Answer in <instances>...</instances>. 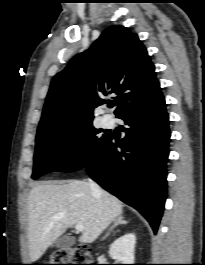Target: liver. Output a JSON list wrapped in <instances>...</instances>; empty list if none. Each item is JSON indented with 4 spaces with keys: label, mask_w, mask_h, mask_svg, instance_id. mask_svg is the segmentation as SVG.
Here are the masks:
<instances>
[{
    "label": "liver",
    "mask_w": 205,
    "mask_h": 265,
    "mask_svg": "<svg viewBox=\"0 0 205 265\" xmlns=\"http://www.w3.org/2000/svg\"><path fill=\"white\" fill-rule=\"evenodd\" d=\"M122 213L123 204L115 196L104 190L100 196L94 194L84 180L34 186L27 204L30 260H38L67 228L77 224L84 227L79 241L94 242Z\"/></svg>",
    "instance_id": "liver-1"
}]
</instances>
